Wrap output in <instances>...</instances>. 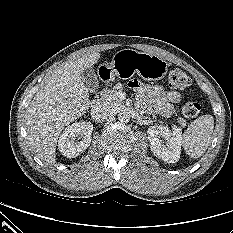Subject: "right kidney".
I'll use <instances>...</instances> for the list:
<instances>
[{
    "mask_svg": "<svg viewBox=\"0 0 233 233\" xmlns=\"http://www.w3.org/2000/svg\"><path fill=\"white\" fill-rule=\"evenodd\" d=\"M92 131L91 122H77L67 126L58 139L59 151L67 158L77 157L89 147Z\"/></svg>",
    "mask_w": 233,
    "mask_h": 233,
    "instance_id": "obj_1",
    "label": "right kidney"
}]
</instances>
